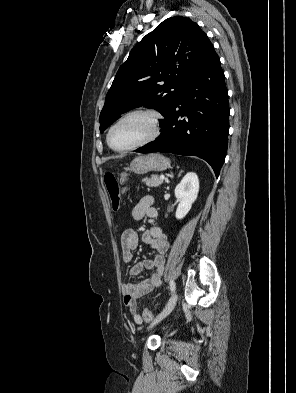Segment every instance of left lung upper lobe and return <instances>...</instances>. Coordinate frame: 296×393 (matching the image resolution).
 Wrapping results in <instances>:
<instances>
[{"mask_svg": "<svg viewBox=\"0 0 296 393\" xmlns=\"http://www.w3.org/2000/svg\"><path fill=\"white\" fill-rule=\"evenodd\" d=\"M213 51L207 35L189 18L164 20L120 66L100 114V132L120 114L142 105L159 111L166 121L179 95Z\"/></svg>", "mask_w": 296, "mask_h": 393, "instance_id": "1", "label": "left lung upper lobe"}]
</instances>
